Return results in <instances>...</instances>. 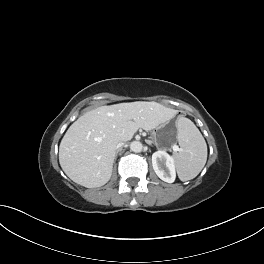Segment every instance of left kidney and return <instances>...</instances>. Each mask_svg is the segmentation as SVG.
Wrapping results in <instances>:
<instances>
[{"mask_svg": "<svg viewBox=\"0 0 264 264\" xmlns=\"http://www.w3.org/2000/svg\"><path fill=\"white\" fill-rule=\"evenodd\" d=\"M152 165L157 176L167 182L173 183L176 178L174 158L166 151L158 150L152 155Z\"/></svg>", "mask_w": 264, "mask_h": 264, "instance_id": "obj_1", "label": "left kidney"}]
</instances>
